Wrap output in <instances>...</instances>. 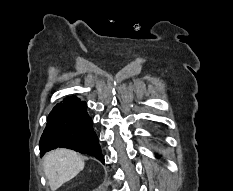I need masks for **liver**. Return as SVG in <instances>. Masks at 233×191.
I'll use <instances>...</instances> for the list:
<instances>
[{"mask_svg":"<svg viewBox=\"0 0 233 191\" xmlns=\"http://www.w3.org/2000/svg\"><path fill=\"white\" fill-rule=\"evenodd\" d=\"M83 158L75 151L59 148L43 157V169L52 191L73 179L84 169Z\"/></svg>","mask_w":233,"mask_h":191,"instance_id":"6515ba94","label":"liver"}]
</instances>
